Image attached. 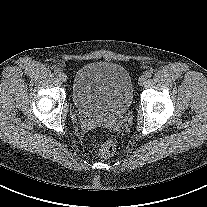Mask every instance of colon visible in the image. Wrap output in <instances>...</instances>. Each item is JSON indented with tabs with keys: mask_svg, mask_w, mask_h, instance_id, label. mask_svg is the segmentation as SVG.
Wrapping results in <instances>:
<instances>
[{
	"mask_svg": "<svg viewBox=\"0 0 207 207\" xmlns=\"http://www.w3.org/2000/svg\"><path fill=\"white\" fill-rule=\"evenodd\" d=\"M115 150H116L115 143L112 140L108 139L103 144L100 145L99 154L104 158H109L115 153Z\"/></svg>",
	"mask_w": 207,
	"mask_h": 207,
	"instance_id": "obj_1",
	"label": "colon"
}]
</instances>
